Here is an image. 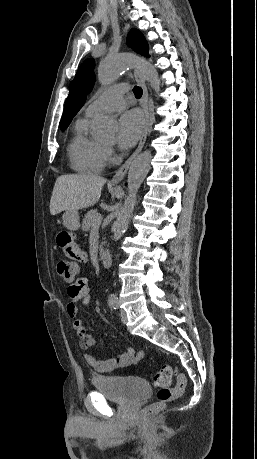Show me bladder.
I'll list each match as a JSON object with an SVG mask.
<instances>
[{"mask_svg": "<svg viewBox=\"0 0 257 459\" xmlns=\"http://www.w3.org/2000/svg\"><path fill=\"white\" fill-rule=\"evenodd\" d=\"M92 385L95 391L120 404L140 401L151 393V388L146 381L127 375L94 376Z\"/></svg>", "mask_w": 257, "mask_h": 459, "instance_id": "bladder-1", "label": "bladder"}]
</instances>
